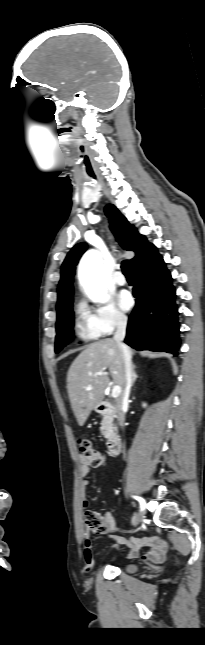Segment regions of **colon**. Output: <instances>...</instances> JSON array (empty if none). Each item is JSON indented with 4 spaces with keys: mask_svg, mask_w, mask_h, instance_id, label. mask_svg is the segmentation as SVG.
Here are the masks:
<instances>
[{
    "mask_svg": "<svg viewBox=\"0 0 205 645\" xmlns=\"http://www.w3.org/2000/svg\"><path fill=\"white\" fill-rule=\"evenodd\" d=\"M79 449L82 457L92 467H99L104 463V456L102 453L93 447L92 443L87 439H80L78 441ZM84 521L87 529L96 534H103L107 530V525L101 516L91 510L87 509L84 513Z\"/></svg>",
    "mask_w": 205,
    "mask_h": 645,
    "instance_id": "colon-1",
    "label": "colon"
}]
</instances>
